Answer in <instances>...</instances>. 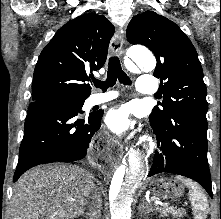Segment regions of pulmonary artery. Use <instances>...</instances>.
Here are the masks:
<instances>
[{
    "instance_id": "pulmonary-artery-1",
    "label": "pulmonary artery",
    "mask_w": 221,
    "mask_h": 219,
    "mask_svg": "<svg viewBox=\"0 0 221 219\" xmlns=\"http://www.w3.org/2000/svg\"><path fill=\"white\" fill-rule=\"evenodd\" d=\"M137 90L145 95L155 94L158 90V81L152 75L143 74L138 78ZM118 97V93L109 91L106 93L93 94L90 98V104H100L111 101Z\"/></svg>"
}]
</instances>
